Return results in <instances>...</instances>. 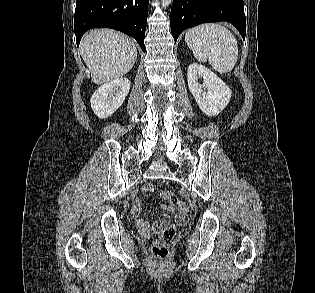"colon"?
Listing matches in <instances>:
<instances>
[{
	"label": "colon",
	"mask_w": 315,
	"mask_h": 293,
	"mask_svg": "<svg viewBox=\"0 0 315 293\" xmlns=\"http://www.w3.org/2000/svg\"><path fill=\"white\" fill-rule=\"evenodd\" d=\"M159 196L170 203L171 206L179 211V215L185 216L187 212V205L180 201L178 197L172 192L161 190ZM159 231V237L151 244L152 255L160 261H165L169 256L168 246L172 242L175 236V226L167 225L163 229H157Z\"/></svg>",
	"instance_id": "obj_1"
}]
</instances>
